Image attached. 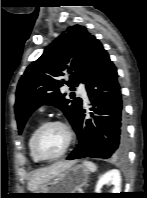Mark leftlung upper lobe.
<instances>
[{
	"mask_svg": "<svg viewBox=\"0 0 147 198\" xmlns=\"http://www.w3.org/2000/svg\"><path fill=\"white\" fill-rule=\"evenodd\" d=\"M95 39L84 26H71L28 66L16 91L15 114L19 133L31 113L43 104L61 109L75 128L82 100L73 99V96L72 100L66 99L59 89L67 84L74 90L79 83L86 82ZM66 73L70 75V82L63 79Z\"/></svg>",
	"mask_w": 147,
	"mask_h": 198,
	"instance_id": "left-lung-upper-lobe-1",
	"label": "left lung upper lobe"
}]
</instances>
